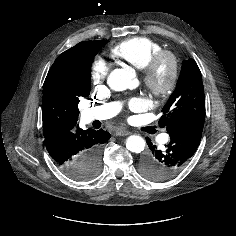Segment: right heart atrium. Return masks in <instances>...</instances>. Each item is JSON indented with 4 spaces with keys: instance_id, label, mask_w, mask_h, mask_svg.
<instances>
[{
    "instance_id": "1",
    "label": "right heart atrium",
    "mask_w": 236,
    "mask_h": 236,
    "mask_svg": "<svg viewBox=\"0 0 236 236\" xmlns=\"http://www.w3.org/2000/svg\"><path fill=\"white\" fill-rule=\"evenodd\" d=\"M109 72L107 62L102 58H96L90 70L91 81L94 85H100L104 82Z\"/></svg>"
}]
</instances>
